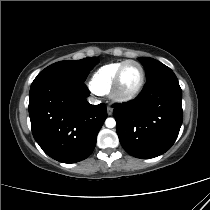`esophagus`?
<instances>
[{
	"instance_id": "1",
	"label": "esophagus",
	"mask_w": 210,
	"mask_h": 210,
	"mask_svg": "<svg viewBox=\"0 0 210 210\" xmlns=\"http://www.w3.org/2000/svg\"><path fill=\"white\" fill-rule=\"evenodd\" d=\"M107 113H108V115L113 114V108L111 106H107Z\"/></svg>"
}]
</instances>
